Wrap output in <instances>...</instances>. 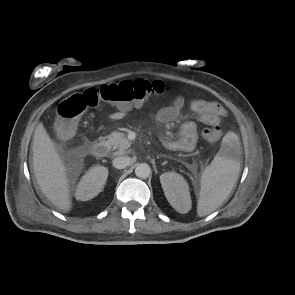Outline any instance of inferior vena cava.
Listing matches in <instances>:
<instances>
[{"mask_svg": "<svg viewBox=\"0 0 295 295\" xmlns=\"http://www.w3.org/2000/svg\"><path fill=\"white\" fill-rule=\"evenodd\" d=\"M130 161H131L130 157L119 156L113 160V166L117 169H124L129 165Z\"/></svg>", "mask_w": 295, "mask_h": 295, "instance_id": "1", "label": "inferior vena cava"}]
</instances>
